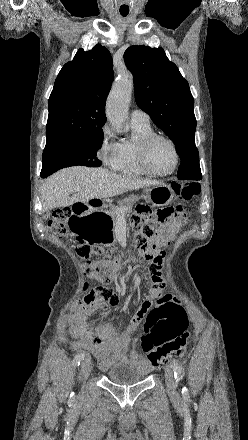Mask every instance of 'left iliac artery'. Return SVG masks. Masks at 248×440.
Segmentation results:
<instances>
[{"mask_svg":"<svg viewBox=\"0 0 248 440\" xmlns=\"http://www.w3.org/2000/svg\"><path fill=\"white\" fill-rule=\"evenodd\" d=\"M172 368H173L175 380L177 382L182 377L183 367L178 360L174 359L172 362ZM182 394L184 398H187L189 396L188 389L186 387H183Z\"/></svg>","mask_w":248,"mask_h":440,"instance_id":"obj_1","label":"left iliac artery"}]
</instances>
